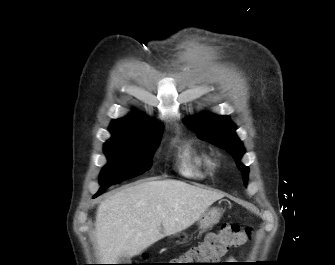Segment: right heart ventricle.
<instances>
[{"instance_id":"1","label":"right heart ventricle","mask_w":335,"mask_h":265,"mask_svg":"<svg viewBox=\"0 0 335 265\" xmlns=\"http://www.w3.org/2000/svg\"><path fill=\"white\" fill-rule=\"evenodd\" d=\"M214 163L210 155L194 141H186L178 151V170L187 178L204 179L212 174Z\"/></svg>"}]
</instances>
